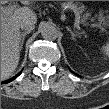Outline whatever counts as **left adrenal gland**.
I'll list each match as a JSON object with an SVG mask.
<instances>
[{"label":"left adrenal gland","instance_id":"obj_1","mask_svg":"<svg viewBox=\"0 0 109 109\" xmlns=\"http://www.w3.org/2000/svg\"><path fill=\"white\" fill-rule=\"evenodd\" d=\"M66 29L70 32L71 36H72V39L74 40L75 39V36H77L78 34H75L70 27H66Z\"/></svg>","mask_w":109,"mask_h":109}]
</instances>
